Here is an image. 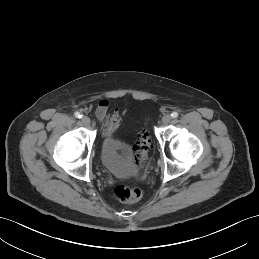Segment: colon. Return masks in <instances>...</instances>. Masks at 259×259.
Masks as SVG:
<instances>
[{
    "mask_svg": "<svg viewBox=\"0 0 259 259\" xmlns=\"http://www.w3.org/2000/svg\"><path fill=\"white\" fill-rule=\"evenodd\" d=\"M151 147V136L147 130H143L134 145L135 161L139 169L146 167L148 152ZM142 190L137 187L118 185L114 188V196L123 203H134L141 199Z\"/></svg>",
    "mask_w": 259,
    "mask_h": 259,
    "instance_id": "obj_1",
    "label": "colon"
}]
</instances>
